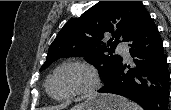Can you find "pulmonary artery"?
<instances>
[{"label":"pulmonary artery","instance_id":"pulmonary-artery-1","mask_svg":"<svg viewBox=\"0 0 171 110\" xmlns=\"http://www.w3.org/2000/svg\"><path fill=\"white\" fill-rule=\"evenodd\" d=\"M117 52L120 53L125 59L130 58L128 48L124 44H119L117 46Z\"/></svg>","mask_w":171,"mask_h":110}]
</instances>
